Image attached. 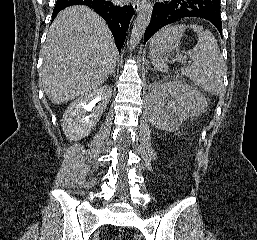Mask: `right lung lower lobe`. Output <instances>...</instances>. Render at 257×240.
I'll return each instance as SVG.
<instances>
[{
    "label": "right lung lower lobe",
    "instance_id": "obj_1",
    "mask_svg": "<svg viewBox=\"0 0 257 240\" xmlns=\"http://www.w3.org/2000/svg\"><path fill=\"white\" fill-rule=\"evenodd\" d=\"M77 4L93 8L107 22L120 51L134 13L133 7L131 5H119L110 0H57L52 20L62 9Z\"/></svg>",
    "mask_w": 257,
    "mask_h": 240
}]
</instances>
